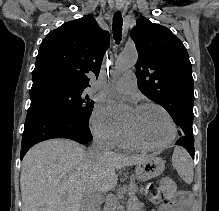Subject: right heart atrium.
I'll return each instance as SVG.
<instances>
[{
  "label": "right heart atrium",
  "mask_w": 219,
  "mask_h": 211,
  "mask_svg": "<svg viewBox=\"0 0 219 211\" xmlns=\"http://www.w3.org/2000/svg\"><path fill=\"white\" fill-rule=\"evenodd\" d=\"M89 125L96 140L112 147L118 144L123 126L114 120L102 105H95L89 117Z\"/></svg>",
  "instance_id": "right-heart-atrium-1"
}]
</instances>
